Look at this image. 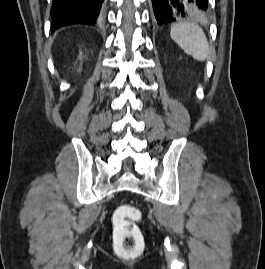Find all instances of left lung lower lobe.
<instances>
[{"label":"left lung lower lobe","mask_w":265,"mask_h":269,"mask_svg":"<svg viewBox=\"0 0 265 269\" xmlns=\"http://www.w3.org/2000/svg\"><path fill=\"white\" fill-rule=\"evenodd\" d=\"M159 25L180 19H201L208 15V0H152Z\"/></svg>","instance_id":"1"}]
</instances>
